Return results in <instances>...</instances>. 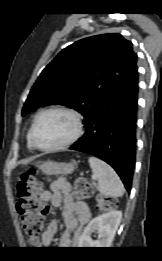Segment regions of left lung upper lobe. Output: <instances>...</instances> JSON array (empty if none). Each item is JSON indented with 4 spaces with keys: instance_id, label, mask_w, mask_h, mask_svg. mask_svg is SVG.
I'll use <instances>...</instances> for the list:
<instances>
[{
    "instance_id": "5c2ea615",
    "label": "left lung upper lobe",
    "mask_w": 162,
    "mask_h": 261,
    "mask_svg": "<svg viewBox=\"0 0 162 261\" xmlns=\"http://www.w3.org/2000/svg\"><path fill=\"white\" fill-rule=\"evenodd\" d=\"M137 69V54L122 35L110 33L79 40L45 67L30 91L22 116L58 103L80 112L86 122Z\"/></svg>"
}]
</instances>
